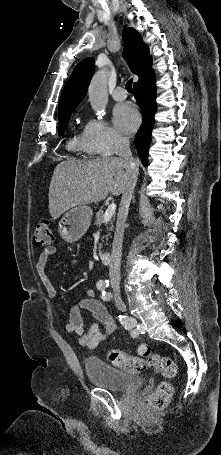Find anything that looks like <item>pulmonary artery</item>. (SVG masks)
<instances>
[{
  "instance_id": "obj_1",
  "label": "pulmonary artery",
  "mask_w": 221,
  "mask_h": 455,
  "mask_svg": "<svg viewBox=\"0 0 221 455\" xmlns=\"http://www.w3.org/2000/svg\"><path fill=\"white\" fill-rule=\"evenodd\" d=\"M112 97L116 101H123V100L126 99L127 94H126L125 90L122 87H117L112 92Z\"/></svg>"
}]
</instances>
